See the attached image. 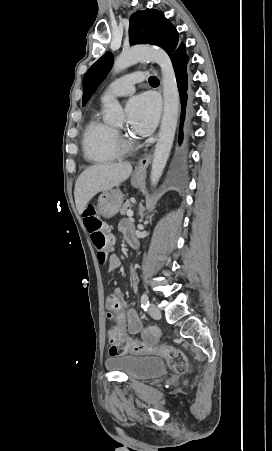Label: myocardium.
Instances as JSON below:
<instances>
[{
	"instance_id": "obj_1",
	"label": "myocardium",
	"mask_w": 272,
	"mask_h": 451,
	"mask_svg": "<svg viewBox=\"0 0 272 451\" xmlns=\"http://www.w3.org/2000/svg\"><path fill=\"white\" fill-rule=\"evenodd\" d=\"M115 135H116V138H118V135H119L118 132H115Z\"/></svg>"
}]
</instances>
